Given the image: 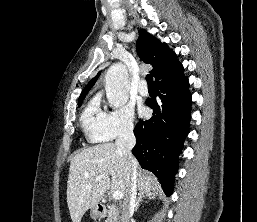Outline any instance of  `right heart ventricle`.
<instances>
[{
    "label": "right heart ventricle",
    "mask_w": 257,
    "mask_h": 222,
    "mask_svg": "<svg viewBox=\"0 0 257 222\" xmlns=\"http://www.w3.org/2000/svg\"><path fill=\"white\" fill-rule=\"evenodd\" d=\"M103 115L104 113L101 110L100 99L98 96H95L87 103L81 114L80 124L82 130L93 142L101 141L98 137Z\"/></svg>",
    "instance_id": "1"
}]
</instances>
